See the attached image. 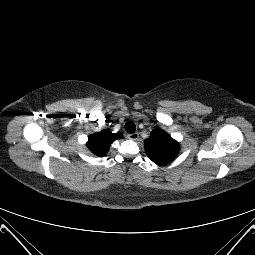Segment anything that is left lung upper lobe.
I'll return each instance as SVG.
<instances>
[{"label":"left lung upper lobe","mask_w":255,"mask_h":255,"mask_svg":"<svg viewBox=\"0 0 255 255\" xmlns=\"http://www.w3.org/2000/svg\"><path fill=\"white\" fill-rule=\"evenodd\" d=\"M144 147L147 156L158 165L173 161L179 151L178 142L162 129L153 130Z\"/></svg>","instance_id":"left-lung-upper-lobe-1"}]
</instances>
